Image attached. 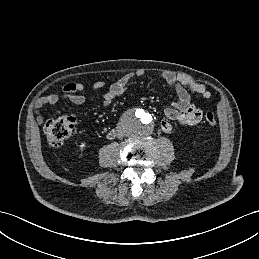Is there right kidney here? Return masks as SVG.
Segmentation results:
<instances>
[{"label": "right kidney", "mask_w": 259, "mask_h": 259, "mask_svg": "<svg viewBox=\"0 0 259 259\" xmlns=\"http://www.w3.org/2000/svg\"><path fill=\"white\" fill-rule=\"evenodd\" d=\"M84 146H85V144H84V143H82V144L80 145V147H81V148H83Z\"/></svg>", "instance_id": "ca27d5eb"}]
</instances>
